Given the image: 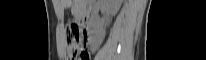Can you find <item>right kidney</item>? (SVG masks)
<instances>
[{
	"label": "right kidney",
	"instance_id": "right-kidney-1",
	"mask_svg": "<svg viewBox=\"0 0 206 60\" xmlns=\"http://www.w3.org/2000/svg\"><path fill=\"white\" fill-rule=\"evenodd\" d=\"M119 4L120 3L116 1H108L105 3L106 7L110 10V13L113 15L117 12ZM91 26L93 34L98 40H100L104 34L100 22L97 19H93Z\"/></svg>",
	"mask_w": 206,
	"mask_h": 60
}]
</instances>
